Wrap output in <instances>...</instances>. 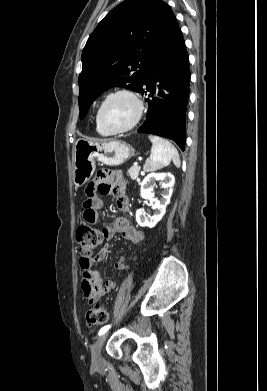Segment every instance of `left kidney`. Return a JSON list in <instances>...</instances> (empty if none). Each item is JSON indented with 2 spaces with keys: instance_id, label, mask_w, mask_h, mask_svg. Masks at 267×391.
<instances>
[{
  "instance_id": "1",
  "label": "left kidney",
  "mask_w": 267,
  "mask_h": 391,
  "mask_svg": "<svg viewBox=\"0 0 267 391\" xmlns=\"http://www.w3.org/2000/svg\"><path fill=\"white\" fill-rule=\"evenodd\" d=\"M156 181H160L163 189L162 198H153L152 191ZM175 178L171 173H151L148 174L141 183V197L149 199L154 210L153 216L145 214L144 210L136 211V221L142 227H154L165 215L166 207L170 203V198L173 192Z\"/></svg>"
}]
</instances>
